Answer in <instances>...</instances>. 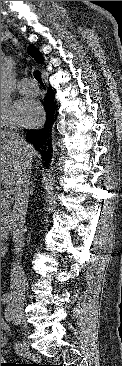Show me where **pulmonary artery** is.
I'll list each match as a JSON object with an SVG mask.
<instances>
[{
    "mask_svg": "<svg viewBox=\"0 0 122 366\" xmlns=\"http://www.w3.org/2000/svg\"><path fill=\"white\" fill-rule=\"evenodd\" d=\"M17 88L22 94L35 95L38 93V86L36 83L27 78L20 80Z\"/></svg>",
    "mask_w": 122,
    "mask_h": 366,
    "instance_id": "e3ab8cb5",
    "label": "pulmonary artery"
}]
</instances>
